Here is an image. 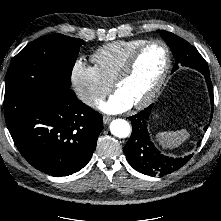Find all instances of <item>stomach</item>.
I'll return each mask as SVG.
<instances>
[{"label":"stomach","mask_w":221,"mask_h":221,"mask_svg":"<svg viewBox=\"0 0 221 221\" xmlns=\"http://www.w3.org/2000/svg\"><path fill=\"white\" fill-rule=\"evenodd\" d=\"M159 117V115L156 113V114H154V118H158Z\"/></svg>","instance_id":"stomach-1"}]
</instances>
